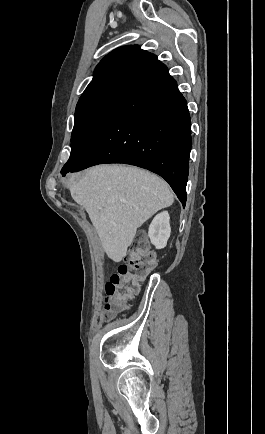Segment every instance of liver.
<instances>
[{"mask_svg": "<svg viewBox=\"0 0 265 434\" xmlns=\"http://www.w3.org/2000/svg\"><path fill=\"white\" fill-rule=\"evenodd\" d=\"M69 190L96 228L102 248L113 262H121L146 220L174 202L170 186L139 168L95 166L71 174Z\"/></svg>", "mask_w": 265, "mask_h": 434, "instance_id": "obj_1", "label": "liver"}]
</instances>
